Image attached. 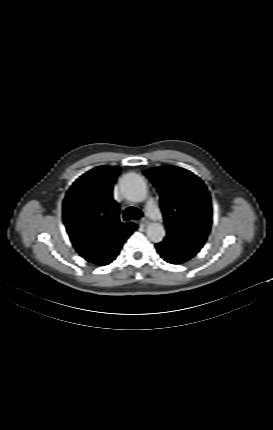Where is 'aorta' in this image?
<instances>
[{
    "instance_id": "762f6f07",
    "label": "aorta",
    "mask_w": 273,
    "mask_h": 430,
    "mask_svg": "<svg viewBox=\"0 0 273 430\" xmlns=\"http://www.w3.org/2000/svg\"><path fill=\"white\" fill-rule=\"evenodd\" d=\"M121 190L123 195L132 202H143L147 198L146 183L136 173H128L122 178ZM146 232L148 238L154 243L161 242L165 237L164 226L157 222L151 223Z\"/></svg>"
}]
</instances>
